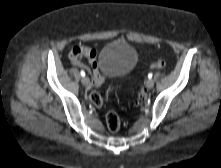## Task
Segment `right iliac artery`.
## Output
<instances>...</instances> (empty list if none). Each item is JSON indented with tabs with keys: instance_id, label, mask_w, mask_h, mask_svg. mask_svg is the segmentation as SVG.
Masks as SVG:
<instances>
[{
	"instance_id": "obj_1",
	"label": "right iliac artery",
	"mask_w": 221,
	"mask_h": 168,
	"mask_svg": "<svg viewBox=\"0 0 221 168\" xmlns=\"http://www.w3.org/2000/svg\"><path fill=\"white\" fill-rule=\"evenodd\" d=\"M80 74H81L82 77L85 76V72L83 70L80 72Z\"/></svg>"
}]
</instances>
